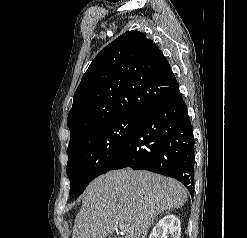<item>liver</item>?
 Returning a JSON list of instances; mask_svg holds the SVG:
<instances>
[{"label": "liver", "mask_w": 247, "mask_h": 238, "mask_svg": "<svg viewBox=\"0 0 247 238\" xmlns=\"http://www.w3.org/2000/svg\"><path fill=\"white\" fill-rule=\"evenodd\" d=\"M186 200V189L174 179L130 168L110 171L86 188L72 238H146L161 212ZM117 227L121 237L113 236Z\"/></svg>", "instance_id": "liver-1"}]
</instances>
